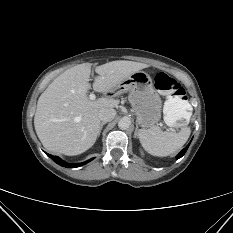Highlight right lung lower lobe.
I'll list each match as a JSON object with an SVG mask.
<instances>
[{"instance_id": "obj_1", "label": "right lung lower lobe", "mask_w": 233, "mask_h": 233, "mask_svg": "<svg viewBox=\"0 0 233 233\" xmlns=\"http://www.w3.org/2000/svg\"><path fill=\"white\" fill-rule=\"evenodd\" d=\"M47 154V153H46ZM47 156H49L50 158L53 159L54 162H56L57 164H59L60 166H63V167H66V168H75V167H79L81 165H84L85 163L89 162H85V163H78V164H69V163H66L64 162L62 159H60L59 157L57 156H52L50 154H47Z\"/></svg>"}]
</instances>
